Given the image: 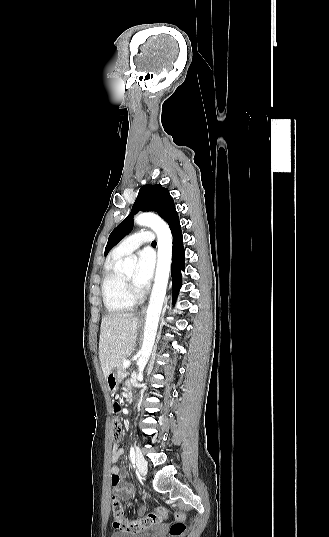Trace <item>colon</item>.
Here are the masks:
<instances>
[{"label": "colon", "mask_w": 329, "mask_h": 537, "mask_svg": "<svg viewBox=\"0 0 329 537\" xmlns=\"http://www.w3.org/2000/svg\"><path fill=\"white\" fill-rule=\"evenodd\" d=\"M122 424L121 421L116 417L113 420V430L112 438L114 441H119L122 437ZM111 512L114 518L113 527L116 529L117 533L120 535L128 534L135 535L139 531L146 528L152 527L154 525L160 524L164 520L168 519V511L163 508H158L157 510L148 513L146 516L139 519L129 520L124 517V509L122 503L116 497L112 498L111 501ZM187 530V525L184 522L183 515L181 513H176L174 515V520L170 525L169 534L171 537H182Z\"/></svg>", "instance_id": "1"}]
</instances>
